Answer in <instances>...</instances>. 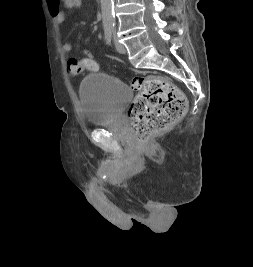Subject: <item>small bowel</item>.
<instances>
[{
    "instance_id": "1",
    "label": "small bowel",
    "mask_w": 253,
    "mask_h": 267,
    "mask_svg": "<svg viewBox=\"0 0 253 267\" xmlns=\"http://www.w3.org/2000/svg\"><path fill=\"white\" fill-rule=\"evenodd\" d=\"M50 13L56 19L58 25L61 27L64 24L66 11L70 9L80 8L82 0H46ZM62 51L69 53L72 51V45L69 42L62 43Z\"/></svg>"
}]
</instances>
